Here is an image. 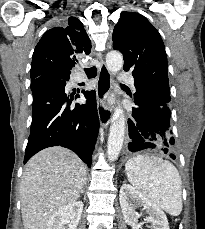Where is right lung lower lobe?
Masks as SVG:
<instances>
[{
	"label": "right lung lower lobe",
	"instance_id": "1",
	"mask_svg": "<svg viewBox=\"0 0 205 229\" xmlns=\"http://www.w3.org/2000/svg\"><path fill=\"white\" fill-rule=\"evenodd\" d=\"M66 81L53 73L31 80L33 115L24 164L38 151L60 145L91 166L99 131L96 95L82 91L87 103L73 105L74 93L65 90Z\"/></svg>",
	"mask_w": 205,
	"mask_h": 229
}]
</instances>
